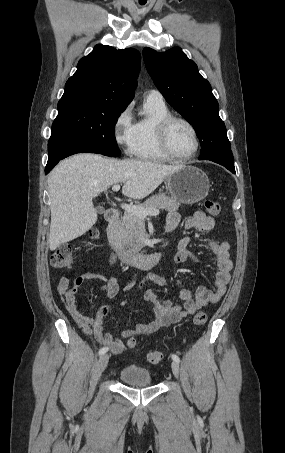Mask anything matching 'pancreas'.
<instances>
[{
    "label": "pancreas",
    "instance_id": "1",
    "mask_svg": "<svg viewBox=\"0 0 285 453\" xmlns=\"http://www.w3.org/2000/svg\"><path fill=\"white\" fill-rule=\"evenodd\" d=\"M179 203L164 193L151 196L138 206L144 209H162L169 212L179 209ZM114 239L121 245L133 251H140L144 246L141 237L145 232L143 218L130 212H125L121 220L112 226Z\"/></svg>",
    "mask_w": 285,
    "mask_h": 453
}]
</instances>
